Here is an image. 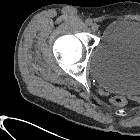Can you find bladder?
<instances>
[{
	"mask_svg": "<svg viewBox=\"0 0 140 140\" xmlns=\"http://www.w3.org/2000/svg\"><path fill=\"white\" fill-rule=\"evenodd\" d=\"M90 71L106 90L140 94V21L108 23L92 52Z\"/></svg>",
	"mask_w": 140,
	"mask_h": 140,
	"instance_id": "bladder-1",
	"label": "bladder"
}]
</instances>
